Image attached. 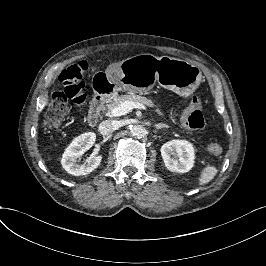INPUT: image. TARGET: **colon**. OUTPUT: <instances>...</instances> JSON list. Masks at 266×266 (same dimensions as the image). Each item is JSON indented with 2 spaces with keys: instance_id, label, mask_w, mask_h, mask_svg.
<instances>
[{
  "instance_id": "obj_1",
  "label": "colon",
  "mask_w": 266,
  "mask_h": 266,
  "mask_svg": "<svg viewBox=\"0 0 266 266\" xmlns=\"http://www.w3.org/2000/svg\"><path fill=\"white\" fill-rule=\"evenodd\" d=\"M88 69V63L83 59L76 60L72 65L63 69L59 75V80L64 84V89L54 92L51 95V102L43 122L45 133L56 132L65 116L68 113V102L80 105L85 97L84 92V73ZM192 104L197 106L199 98L193 96ZM184 124L190 129L205 130V119L201 111L195 110L184 119ZM210 153L218 155L222 148L218 143L208 145Z\"/></svg>"
}]
</instances>
